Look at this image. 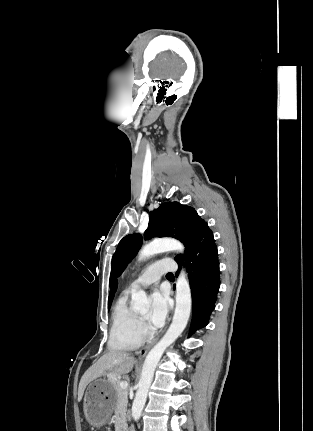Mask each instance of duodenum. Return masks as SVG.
<instances>
[{
	"label": "duodenum",
	"mask_w": 313,
	"mask_h": 431,
	"mask_svg": "<svg viewBox=\"0 0 313 431\" xmlns=\"http://www.w3.org/2000/svg\"><path fill=\"white\" fill-rule=\"evenodd\" d=\"M118 431H128V428L125 424H120L118 426Z\"/></svg>",
	"instance_id": "obj_1"
}]
</instances>
